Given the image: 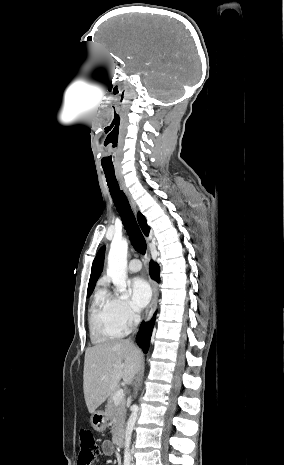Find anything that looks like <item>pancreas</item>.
<instances>
[{
  "mask_svg": "<svg viewBox=\"0 0 284 465\" xmlns=\"http://www.w3.org/2000/svg\"><path fill=\"white\" fill-rule=\"evenodd\" d=\"M114 395L115 393H111V395H109L108 403L104 413L108 421H113V419H115V423H113L111 431L113 441H115L121 427H123L126 415L125 401H122L118 407H115L113 401Z\"/></svg>",
  "mask_w": 284,
  "mask_h": 465,
  "instance_id": "obj_1",
  "label": "pancreas"
}]
</instances>
